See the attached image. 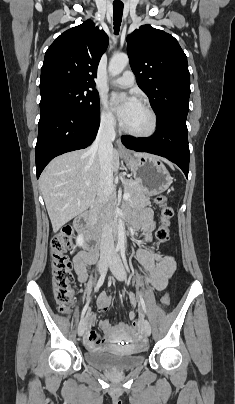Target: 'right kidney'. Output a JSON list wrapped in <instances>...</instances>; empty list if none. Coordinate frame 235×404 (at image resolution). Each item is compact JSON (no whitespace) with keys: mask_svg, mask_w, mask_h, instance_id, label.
<instances>
[{"mask_svg":"<svg viewBox=\"0 0 235 404\" xmlns=\"http://www.w3.org/2000/svg\"><path fill=\"white\" fill-rule=\"evenodd\" d=\"M83 241H84L83 235H81V234L78 235V237L76 239V244L81 247L83 245Z\"/></svg>","mask_w":235,"mask_h":404,"instance_id":"1","label":"right kidney"}]
</instances>
